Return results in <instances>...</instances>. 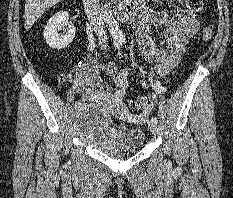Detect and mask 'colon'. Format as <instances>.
<instances>
[{
  "label": "colon",
  "instance_id": "1",
  "mask_svg": "<svg viewBox=\"0 0 233 198\" xmlns=\"http://www.w3.org/2000/svg\"><path fill=\"white\" fill-rule=\"evenodd\" d=\"M188 8L198 13L202 9L203 0H187ZM213 36V29L211 26H205L202 31V39L205 43L209 42ZM79 79V72L78 70H73L69 74L62 76V80H74L77 81ZM152 107V104L148 101L147 98L141 96L136 98L132 102V108L135 111H144L148 112Z\"/></svg>",
  "mask_w": 233,
  "mask_h": 198
}]
</instances>
